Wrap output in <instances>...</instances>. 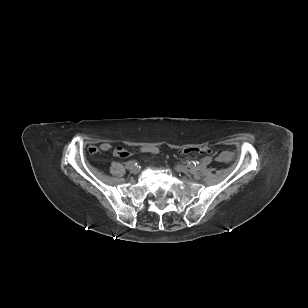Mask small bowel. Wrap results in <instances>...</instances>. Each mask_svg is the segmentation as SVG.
Here are the masks:
<instances>
[{
	"label": "small bowel",
	"mask_w": 308,
	"mask_h": 308,
	"mask_svg": "<svg viewBox=\"0 0 308 308\" xmlns=\"http://www.w3.org/2000/svg\"><path fill=\"white\" fill-rule=\"evenodd\" d=\"M96 148H90V152L91 153H96L93 150ZM110 149V145L108 143H102L100 145V150L102 151H108ZM97 150V149H96ZM218 161H227L229 159V153L228 152H222L219 156H218Z\"/></svg>",
	"instance_id": "small-bowel-1"
}]
</instances>
